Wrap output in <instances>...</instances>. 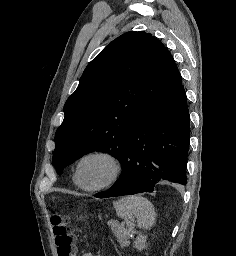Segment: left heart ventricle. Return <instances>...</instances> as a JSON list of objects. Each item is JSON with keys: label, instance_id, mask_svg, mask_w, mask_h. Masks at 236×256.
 <instances>
[{"label": "left heart ventricle", "instance_id": "obj_1", "mask_svg": "<svg viewBox=\"0 0 236 256\" xmlns=\"http://www.w3.org/2000/svg\"><path fill=\"white\" fill-rule=\"evenodd\" d=\"M114 172V166L103 156H93L81 165V180L84 185L94 187L106 182Z\"/></svg>", "mask_w": 236, "mask_h": 256}]
</instances>
